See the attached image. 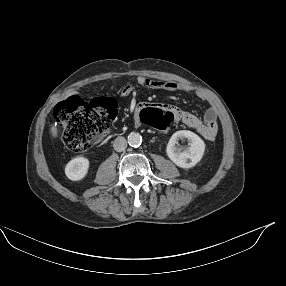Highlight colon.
I'll list each match as a JSON object with an SVG mask.
<instances>
[{
	"instance_id": "1",
	"label": "colon",
	"mask_w": 286,
	"mask_h": 286,
	"mask_svg": "<svg viewBox=\"0 0 286 286\" xmlns=\"http://www.w3.org/2000/svg\"><path fill=\"white\" fill-rule=\"evenodd\" d=\"M117 111L115 99L99 97L84 101L71 96L55 106V118L63 130L62 141L73 152H81L97 144L107 134L110 122ZM145 126L156 132H169L172 115L158 108L149 110L143 117Z\"/></svg>"
}]
</instances>
